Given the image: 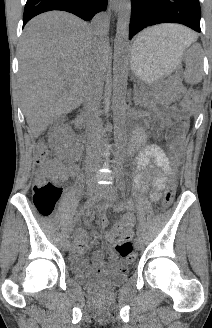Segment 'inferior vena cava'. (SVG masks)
I'll return each instance as SVG.
<instances>
[{"mask_svg":"<svg viewBox=\"0 0 212 328\" xmlns=\"http://www.w3.org/2000/svg\"><path fill=\"white\" fill-rule=\"evenodd\" d=\"M107 16L104 13H98L94 16L91 23V30L96 38L103 40L106 34ZM103 93V80L100 73L95 70L91 73L84 98H83V115L87 124V140L88 148L90 149L87 156V163L89 167H93L95 170L92 174L98 176L100 171V163L96 161L97 157L91 152V149L99 144L102 133V122L100 119V97Z\"/></svg>","mask_w":212,"mask_h":328,"instance_id":"602c4592","label":"inferior vena cava"}]
</instances>
